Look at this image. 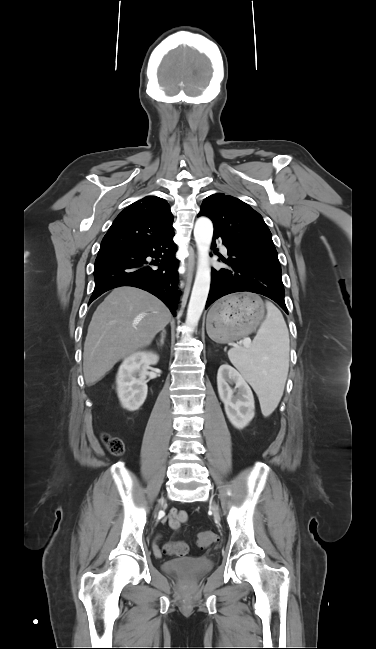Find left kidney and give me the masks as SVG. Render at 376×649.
<instances>
[{
  "label": "left kidney",
  "mask_w": 376,
  "mask_h": 649,
  "mask_svg": "<svg viewBox=\"0 0 376 649\" xmlns=\"http://www.w3.org/2000/svg\"><path fill=\"white\" fill-rule=\"evenodd\" d=\"M235 384L234 389L230 385ZM217 387L225 412L238 429L249 424L255 415L254 397L243 376L228 364L220 366L217 374Z\"/></svg>",
  "instance_id": "5707ae66"
}]
</instances>
